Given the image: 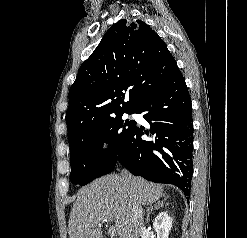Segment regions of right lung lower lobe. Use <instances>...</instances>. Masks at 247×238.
Returning <instances> with one entry per match:
<instances>
[{
    "mask_svg": "<svg viewBox=\"0 0 247 238\" xmlns=\"http://www.w3.org/2000/svg\"><path fill=\"white\" fill-rule=\"evenodd\" d=\"M191 112V98L178 69L134 111L142 114L151 128L145 130L135 122L118 162L134 175L173 184L189 195L193 174ZM144 134L150 139L143 140Z\"/></svg>",
    "mask_w": 247,
    "mask_h": 238,
    "instance_id": "98d812e1",
    "label": "right lung lower lobe"
}]
</instances>
